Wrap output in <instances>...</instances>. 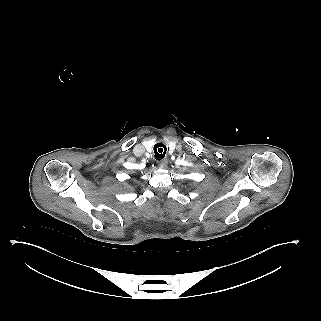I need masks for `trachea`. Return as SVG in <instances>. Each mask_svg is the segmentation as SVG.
<instances>
[{
  "mask_svg": "<svg viewBox=\"0 0 321 321\" xmlns=\"http://www.w3.org/2000/svg\"><path fill=\"white\" fill-rule=\"evenodd\" d=\"M152 154L157 160H161L166 154V146L164 144H155L152 147Z\"/></svg>",
  "mask_w": 321,
  "mask_h": 321,
  "instance_id": "obj_1",
  "label": "trachea"
}]
</instances>
